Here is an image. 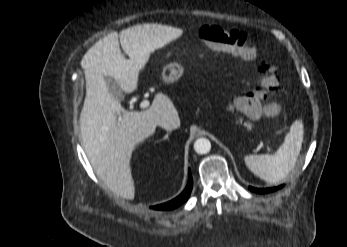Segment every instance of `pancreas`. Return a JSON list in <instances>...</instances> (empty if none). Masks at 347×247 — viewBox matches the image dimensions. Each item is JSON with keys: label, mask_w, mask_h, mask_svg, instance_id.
I'll use <instances>...</instances> for the list:
<instances>
[{"label": "pancreas", "mask_w": 347, "mask_h": 247, "mask_svg": "<svg viewBox=\"0 0 347 247\" xmlns=\"http://www.w3.org/2000/svg\"><path fill=\"white\" fill-rule=\"evenodd\" d=\"M228 110H230V111L233 112V107H232V106H229V107H228Z\"/></svg>", "instance_id": "obj_1"}]
</instances>
